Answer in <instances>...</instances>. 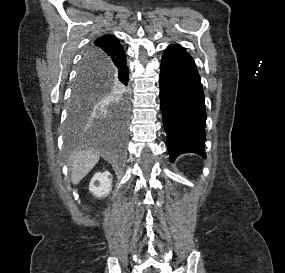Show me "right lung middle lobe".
<instances>
[{
    "mask_svg": "<svg viewBox=\"0 0 285 273\" xmlns=\"http://www.w3.org/2000/svg\"><path fill=\"white\" fill-rule=\"evenodd\" d=\"M97 58L96 54L87 50L75 79L68 121L71 129L83 122L97 101L108 95L124 97L126 94V90L114 82L106 65L101 67L90 65Z\"/></svg>",
    "mask_w": 285,
    "mask_h": 273,
    "instance_id": "obj_1",
    "label": "right lung middle lobe"
}]
</instances>
